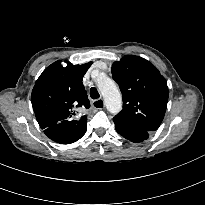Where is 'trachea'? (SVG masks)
<instances>
[{
	"mask_svg": "<svg viewBox=\"0 0 205 205\" xmlns=\"http://www.w3.org/2000/svg\"><path fill=\"white\" fill-rule=\"evenodd\" d=\"M90 96L92 99H98L100 97V95L95 87H92L90 89Z\"/></svg>",
	"mask_w": 205,
	"mask_h": 205,
	"instance_id": "obj_1",
	"label": "trachea"
}]
</instances>
